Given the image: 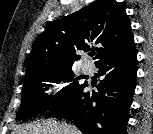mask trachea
Instances as JSON below:
<instances>
[{"label":"trachea","mask_w":153,"mask_h":134,"mask_svg":"<svg viewBox=\"0 0 153 134\" xmlns=\"http://www.w3.org/2000/svg\"><path fill=\"white\" fill-rule=\"evenodd\" d=\"M96 54V52L95 51H92L91 53H90V56H94Z\"/></svg>","instance_id":"trachea-1"}]
</instances>
